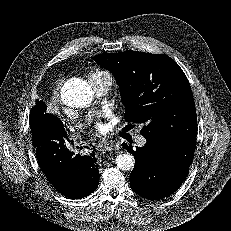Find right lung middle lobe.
I'll return each mask as SVG.
<instances>
[{"mask_svg": "<svg viewBox=\"0 0 231 231\" xmlns=\"http://www.w3.org/2000/svg\"><path fill=\"white\" fill-rule=\"evenodd\" d=\"M46 110L45 104L42 101H37L36 106L32 108L31 114L29 117L30 125L35 122V119L38 118Z\"/></svg>", "mask_w": 231, "mask_h": 231, "instance_id": "obj_1", "label": "right lung middle lobe"}]
</instances>
